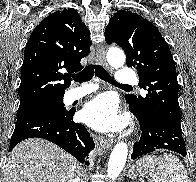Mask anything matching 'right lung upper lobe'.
<instances>
[{
    "label": "right lung upper lobe",
    "mask_w": 196,
    "mask_h": 182,
    "mask_svg": "<svg viewBox=\"0 0 196 182\" xmlns=\"http://www.w3.org/2000/svg\"><path fill=\"white\" fill-rule=\"evenodd\" d=\"M90 45V31L75 9L57 11L45 18L25 47L20 105L63 96L71 79L60 70H82L80 60L90 53Z\"/></svg>",
    "instance_id": "right-lung-upper-lobe-1"
}]
</instances>
